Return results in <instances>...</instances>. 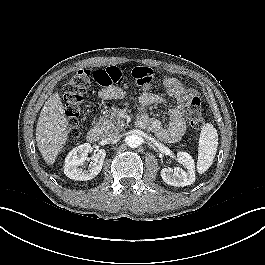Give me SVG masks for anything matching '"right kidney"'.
Listing matches in <instances>:
<instances>
[{
	"instance_id": "obj_1",
	"label": "right kidney",
	"mask_w": 265,
	"mask_h": 265,
	"mask_svg": "<svg viewBox=\"0 0 265 265\" xmlns=\"http://www.w3.org/2000/svg\"><path fill=\"white\" fill-rule=\"evenodd\" d=\"M91 145L84 143L72 149L66 159L64 165L65 175L73 180L87 181L94 178L102 169L106 156L105 150H99L98 153L91 157V163L88 170H83L82 166L87 159Z\"/></svg>"
}]
</instances>
